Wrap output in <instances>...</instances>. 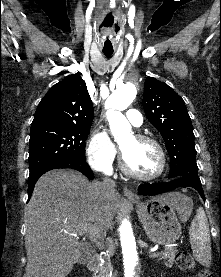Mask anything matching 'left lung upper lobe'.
<instances>
[{
    "mask_svg": "<svg viewBox=\"0 0 221 277\" xmlns=\"http://www.w3.org/2000/svg\"><path fill=\"white\" fill-rule=\"evenodd\" d=\"M142 104L147 119L166 144L170 156L168 178L200 180L191 119L182 97L167 84L147 77Z\"/></svg>",
    "mask_w": 221,
    "mask_h": 277,
    "instance_id": "5c2ea615",
    "label": "left lung upper lobe"
}]
</instances>
